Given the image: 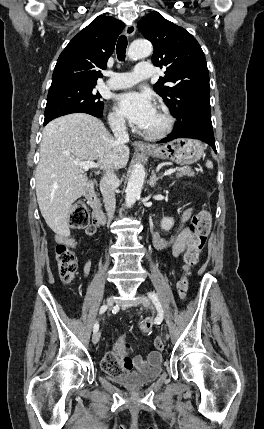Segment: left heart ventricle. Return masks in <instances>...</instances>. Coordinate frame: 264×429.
Here are the masks:
<instances>
[{
  "label": "left heart ventricle",
  "instance_id": "obj_1",
  "mask_svg": "<svg viewBox=\"0 0 264 429\" xmlns=\"http://www.w3.org/2000/svg\"><path fill=\"white\" fill-rule=\"evenodd\" d=\"M164 124V120L162 116L155 111L149 122L146 124V126L143 128V130L146 131H157L159 130Z\"/></svg>",
  "mask_w": 264,
  "mask_h": 429
}]
</instances>
